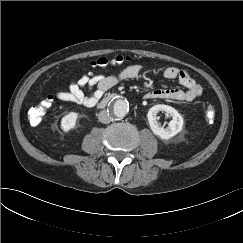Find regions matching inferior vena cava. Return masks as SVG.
<instances>
[{
    "mask_svg": "<svg viewBox=\"0 0 243 243\" xmlns=\"http://www.w3.org/2000/svg\"><path fill=\"white\" fill-rule=\"evenodd\" d=\"M98 119L101 123L108 124L112 121V117L109 112L102 110L98 114Z\"/></svg>",
    "mask_w": 243,
    "mask_h": 243,
    "instance_id": "inferior-vena-cava-1",
    "label": "inferior vena cava"
}]
</instances>
